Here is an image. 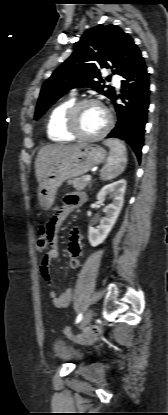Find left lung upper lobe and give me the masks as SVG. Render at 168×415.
Listing matches in <instances>:
<instances>
[{
    "label": "left lung upper lobe",
    "instance_id": "left-lung-upper-lobe-1",
    "mask_svg": "<svg viewBox=\"0 0 168 415\" xmlns=\"http://www.w3.org/2000/svg\"><path fill=\"white\" fill-rule=\"evenodd\" d=\"M139 53L133 39L116 25H98L87 30L73 54L44 82L35 119L73 88L90 87L112 99L116 91L103 84L100 69L112 68L113 74L122 76Z\"/></svg>",
    "mask_w": 168,
    "mask_h": 415
}]
</instances>
